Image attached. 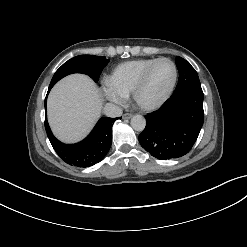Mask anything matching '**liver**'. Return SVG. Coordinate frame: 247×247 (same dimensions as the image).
I'll list each match as a JSON object with an SVG mask.
<instances>
[{
	"label": "liver",
	"mask_w": 247,
	"mask_h": 247,
	"mask_svg": "<svg viewBox=\"0 0 247 247\" xmlns=\"http://www.w3.org/2000/svg\"><path fill=\"white\" fill-rule=\"evenodd\" d=\"M101 108V95L92 79L73 74L52 88L47 102L48 121L58 139L74 143L91 131Z\"/></svg>",
	"instance_id": "liver-1"
}]
</instances>
